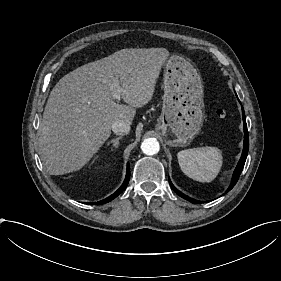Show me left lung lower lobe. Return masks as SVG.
Wrapping results in <instances>:
<instances>
[{"mask_svg":"<svg viewBox=\"0 0 281 281\" xmlns=\"http://www.w3.org/2000/svg\"><path fill=\"white\" fill-rule=\"evenodd\" d=\"M242 114H243V122H244V147H243V152H242V155H241V158L238 162V165L233 173V177H232V181H231V184L229 186V188L227 189L226 192H229L234 186L235 184L237 183L238 181V178L242 172V169L244 167V164H245V161H246V157H247V154H248V149H249V137H248V131H247V124H246V120H245V113H244V109L242 107ZM169 183H170V186L171 188L182 198L192 202V203H202L200 201H196L188 196H186L185 194H183L182 192H180L179 190H177L174 185L171 183L170 179H169Z\"/></svg>","mask_w":281,"mask_h":281,"instance_id":"left-lung-lower-lobe-1","label":"left lung lower lobe"}]
</instances>
